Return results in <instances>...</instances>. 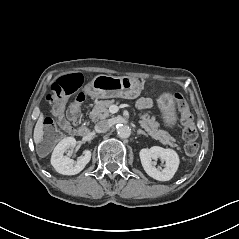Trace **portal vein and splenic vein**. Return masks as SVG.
Returning <instances> with one entry per match:
<instances>
[{
	"label": "portal vein and splenic vein",
	"instance_id": "1",
	"mask_svg": "<svg viewBox=\"0 0 239 239\" xmlns=\"http://www.w3.org/2000/svg\"><path fill=\"white\" fill-rule=\"evenodd\" d=\"M121 108H123L122 105H120V106L112 105V106L109 107V113L115 114V113H117Z\"/></svg>",
	"mask_w": 239,
	"mask_h": 239
}]
</instances>
